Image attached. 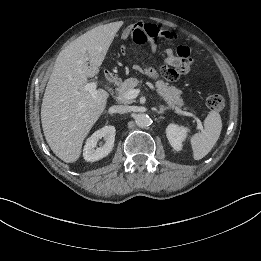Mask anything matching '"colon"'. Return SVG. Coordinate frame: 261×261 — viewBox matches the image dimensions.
<instances>
[{
	"label": "colon",
	"mask_w": 261,
	"mask_h": 261,
	"mask_svg": "<svg viewBox=\"0 0 261 261\" xmlns=\"http://www.w3.org/2000/svg\"><path fill=\"white\" fill-rule=\"evenodd\" d=\"M122 25L123 29L120 31L119 35L120 38L125 41L129 40L131 35H134V40L139 44L146 43L148 36L166 40V43L171 46L175 45L178 40V35L176 32L172 30L161 29L158 25H153L150 21L147 20L139 23L128 18L123 21ZM161 71L166 79L171 80L173 78L174 73L165 66L161 67ZM206 106L211 111L221 112L225 107V100L220 95H210L206 99Z\"/></svg>",
	"instance_id": "1"
}]
</instances>
